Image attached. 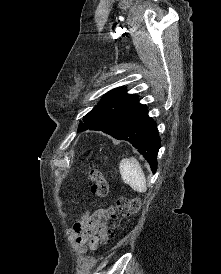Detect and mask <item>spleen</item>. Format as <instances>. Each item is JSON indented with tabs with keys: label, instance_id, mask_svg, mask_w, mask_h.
Wrapping results in <instances>:
<instances>
[{
	"label": "spleen",
	"instance_id": "spleen-1",
	"mask_svg": "<svg viewBox=\"0 0 221 274\" xmlns=\"http://www.w3.org/2000/svg\"><path fill=\"white\" fill-rule=\"evenodd\" d=\"M119 170L125 184H128L137 192L144 193L147 191L144 172L134 157L122 159L119 164Z\"/></svg>",
	"mask_w": 221,
	"mask_h": 274
}]
</instances>
